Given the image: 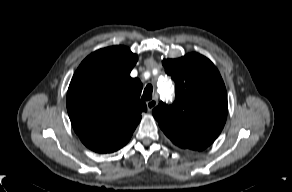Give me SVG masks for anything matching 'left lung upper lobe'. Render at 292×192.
Wrapping results in <instances>:
<instances>
[{"label": "left lung upper lobe", "mask_w": 292, "mask_h": 192, "mask_svg": "<svg viewBox=\"0 0 292 192\" xmlns=\"http://www.w3.org/2000/svg\"><path fill=\"white\" fill-rule=\"evenodd\" d=\"M175 81L176 99L153 109L165 135L181 148L201 151L214 142L227 118V93L221 75L205 56L191 53L163 60Z\"/></svg>", "instance_id": "5c2ea615"}]
</instances>
